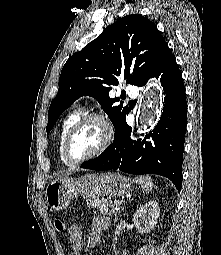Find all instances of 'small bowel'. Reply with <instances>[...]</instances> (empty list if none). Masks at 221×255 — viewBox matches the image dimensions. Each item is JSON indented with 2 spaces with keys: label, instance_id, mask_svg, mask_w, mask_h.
Here are the masks:
<instances>
[{
  "label": "small bowel",
  "instance_id": "small-bowel-1",
  "mask_svg": "<svg viewBox=\"0 0 221 255\" xmlns=\"http://www.w3.org/2000/svg\"><path fill=\"white\" fill-rule=\"evenodd\" d=\"M110 225V220L106 216H97L92 223L89 234V245L95 247L101 240L103 231ZM71 253L70 255H81L83 247L82 233L80 229L75 234L70 235Z\"/></svg>",
  "mask_w": 221,
  "mask_h": 255
}]
</instances>
